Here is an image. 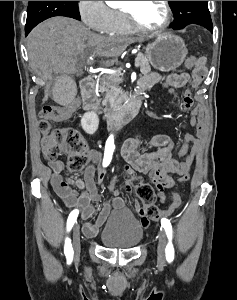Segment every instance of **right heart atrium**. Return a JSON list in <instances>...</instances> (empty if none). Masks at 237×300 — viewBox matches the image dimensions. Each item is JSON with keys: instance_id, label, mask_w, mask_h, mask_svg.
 <instances>
[{"instance_id": "obj_1", "label": "right heart atrium", "mask_w": 237, "mask_h": 300, "mask_svg": "<svg viewBox=\"0 0 237 300\" xmlns=\"http://www.w3.org/2000/svg\"><path fill=\"white\" fill-rule=\"evenodd\" d=\"M79 14L84 24L101 34L114 31V11L105 1H79Z\"/></svg>"}]
</instances>
